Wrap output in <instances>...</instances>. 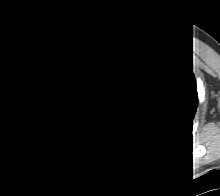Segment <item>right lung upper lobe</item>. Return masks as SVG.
Returning <instances> with one entry per match:
<instances>
[{
	"mask_svg": "<svg viewBox=\"0 0 220 196\" xmlns=\"http://www.w3.org/2000/svg\"><path fill=\"white\" fill-rule=\"evenodd\" d=\"M98 49L82 44L59 59V72L46 90L47 113L59 134L72 141L82 140L88 132V119L80 106L82 76L98 56Z\"/></svg>",
	"mask_w": 220,
	"mask_h": 196,
	"instance_id": "cb5924a9",
	"label": "right lung upper lobe"
}]
</instances>
